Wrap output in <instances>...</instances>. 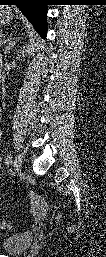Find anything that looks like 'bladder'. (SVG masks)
Here are the masks:
<instances>
[{"label": "bladder", "mask_w": 106, "mask_h": 257, "mask_svg": "<svg viewBox=\"0 0 106 257\" xmlns=\"http://www.w3.org/2000/svg\"><path fill=\"white\" fill-rule=\"evenodd\" d=\"M33 242L30 232H21L7 237L2 243L3 251L12 256L24 253Z\"/></svg>", "instance_id": "1"}]
</instances>
